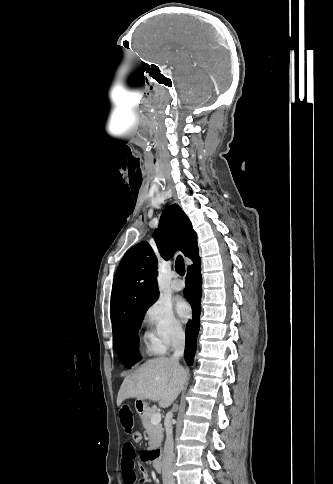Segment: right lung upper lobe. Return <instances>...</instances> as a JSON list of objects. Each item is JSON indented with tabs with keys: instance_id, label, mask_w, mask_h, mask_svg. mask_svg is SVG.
Here are the masks:
<instances>
[{
	"instance_id": "1",
	"label": "right lung upper lobe",
	"mask_w": 333,
	"mask_h": 484,
	"mask_svg": "<svg viewBox=\"0 0 333 484\" xmlns=\"http://www.w3.org/2000/svg\"><path fill=\"white\" fill-rule=\"evenodd\" d=\"M154 239L158 252L165 260L180 249L194 264L200 261L197 235L177 204L163 211ZM156 277L157 258L146 241L133 246L124 255L112 287L110 315L113 336L129 315L147 308L156 300Z\"/></svg>"
}]
</instances>
